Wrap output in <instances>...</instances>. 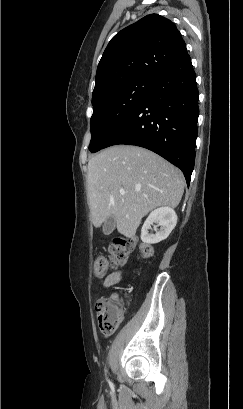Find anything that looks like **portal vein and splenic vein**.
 <instances>
[{"label":"portal vein and splenic vein","instance_id":"18ae733b","mask_svg":"<svg viewBox=\"0 0 243 409\" xmlns=\"http://www.w3.org/2000/svg\"><path fill=\"white\" fill-rule=\"evenodd\" d=\"M120 194H121V195H125V191H124V190H120Z\"/></svg>","mask_w":243,"mask_h":409}]
</instances>
